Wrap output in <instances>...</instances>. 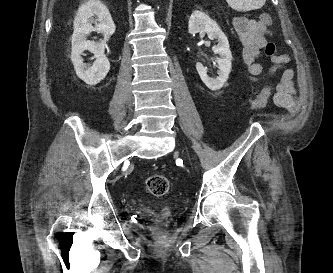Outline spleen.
I'll list each match as a JSON object with an SVG mask.
<instances>
[{
	"mask_svg": "<svg viewBox=\"0 0 333 273\" xmlns=\"http://www.w3.org/2000/svg\"><path fill=\"white\" fill-rule=\"evenodd\" d=\"M228 5L240 12L256 10L265 4L266 0H226Z\"/></svg>",
	"mask_w": 333,
	"mask_h": 273,
	"instance_id": "obj_1",
	"label": "spleen"
}]
</instances>
